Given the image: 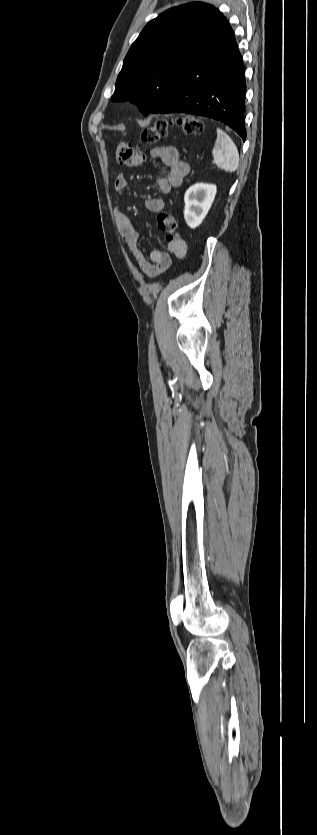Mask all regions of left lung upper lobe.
<instances>
[{
    "mask_svg": "<svg viewBox=\"0 0 317 835\" xmlns=\"http://www.w3.org/2000/svg\"><path fill=\"white\" fill-rule=\"evenodd\" d=\"M223 18L212 5L194 2L151 20L127 53L111 99L132 100L145 115L169 104Z\"/></svg>",
    "mask_w": 317,
    "mask_h": 835,
    "instance_id": "left-lung-upper-lobe-1",
    "label": "left lung upper lobe"
}]
</instances>
